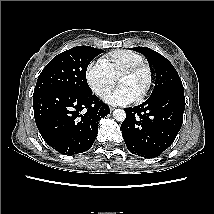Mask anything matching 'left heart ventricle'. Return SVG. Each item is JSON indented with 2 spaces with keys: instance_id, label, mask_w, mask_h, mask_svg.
Segmentation results:
<instances>
[{
  "instance_id": "obj_1",
  "label": "left heart ventricle",
  "mask_w": 214,
  "mask_h": 214,
  "mask_svg": "<svg viewBox=\"0 0 214 214\" xmlns=\"http://www.w3.org/2000/svg\"><path fill=\"white\" fill-rule=\"evenodd\" d=\"M146 83V75L144 72H140L131 76H122L118 78L119 86L126 87L130 90L136 97H138Z\"/></svg>"
}]
</instances>
